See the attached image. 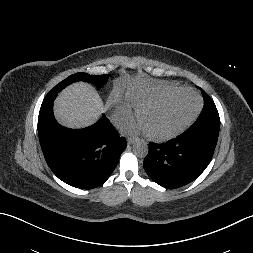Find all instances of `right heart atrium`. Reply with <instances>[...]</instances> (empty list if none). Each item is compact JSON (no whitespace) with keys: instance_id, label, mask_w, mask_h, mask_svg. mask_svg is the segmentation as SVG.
<instances>
[{"instance_id":"1","label":"right heart atrium","mask_w":253,"mask_h":253,"mask_svg":"<svg viewBox=\"0 0 253 253\" xmlns=\"http://www.w3.org/2000/svg\"><path fill=\"white\" fill-rule=\"evenodd\" d=\"M132 116V108L128 103L122 101L116 103L114 117L117 123L126 124L131 121Z\"/></svg>"}]
</instances>
